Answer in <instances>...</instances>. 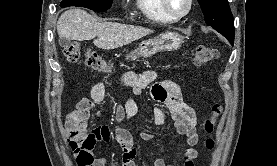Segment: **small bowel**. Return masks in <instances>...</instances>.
Here are the masks:
<instances>
[{"instance_id":"obj_1","label":"small bowel","mask_w":277,"mask_h":166,"mask_svg":"<svg viewBox=\"0 0 277 166\" xmlns=\"http://www.w3.org/2000/svg\"><path fill=\"white\" fill-rule=\"evenodd\" d=\"M158 74L154 70H147L141 74L134 72H125L113 80H102L96 83L92 89L89 98H82L76 106V109L67 117V125L71 124L78 116L86 126V121L90 111L98 107L105 99L108 88L119 90L121 96L126 97L124 104L117 103L115 110V138L122 149V166H137L135 158L137 149L135 138L130 131L121 127L119 123L134 117L138 113V105L134 96L140 95L143 91L151 87V96L158 103L166 107L174 127L179 136L185 141L187 149L181 155L178 166H194L198 152L195 146L198 143L197 119L193 109L182 99L179 85L172 80H164L156 83ZM96 115L100 116V111L96 110ZM153 119L156 125H162L166 120V111L162 107H157L153 112ZM140 139L150 141L154 135L150 132H139ZM111 131L107 125H100L87 133L84 143L81 145L80 154L91 159L85 166H106L104 157H95L94 150L96 145L101 142H109ZM152 166H172L168 165L162 158L151 160Z\"/></svg>"}]
</instances>
